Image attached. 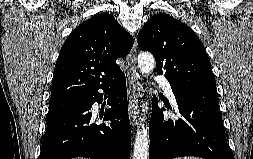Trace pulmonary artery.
I'll return each mask as SVG.
<instances>
[{"instance_id":"e3ab8cb5","label":"pulmonary artery","mask_w":253,"mask_h":159,"mask_svg":"<svg viewBox=\"0 0 253 159\" xmlns=\"http://www.w3.org/2000/svg\"><path fill=\"white\" fill-rule=\"evenodd\" d=\"M154 80L157 84H159L162 87V89L164 90L166 95L169 97V99L173 103H175L176 100L173 94L171 82L162 75L155 76Z\"/></svg>"}]
</instances>
